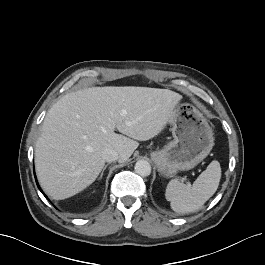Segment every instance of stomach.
<instances>
[{
	"mask_svg": "<svg viewBox=\"0 0 265 265\" xmlns=\"http://www.w3.org/2000/svg\"><path fill=\"white\" fill-rule=\"evenodd\" d=\"M173 140L151 153L158 172L171 177L197 166L214 146V134L203 114L192 104H178L170 120Z\"/></svg>",
	"mask_w": 265,
	"mask_h": 265,
	"instance_id": "0dacf381",
	"label": "stomach"
}]
</instances>
